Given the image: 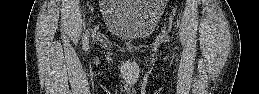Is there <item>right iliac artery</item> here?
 I'll return each mask as SVG.
<instances>
[{"label":"right iliac artery","instance_id":"obj_1","mask_svg":"<svg viewBox=\"0 0 259 94\" xmlns=\"http://www.w3.org/2000/svg\"><path fill=\"white\" fill-rule=\"evenodd\" d=\"M88 43H89V32H86V35L84 36V40H83V48L84 50L88 49Z\"/></svg>","mask_w":259,"mask_h":94}]
</instances>
